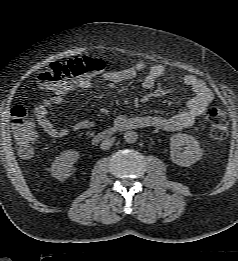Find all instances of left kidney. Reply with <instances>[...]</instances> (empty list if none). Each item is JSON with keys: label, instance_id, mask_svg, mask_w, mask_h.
<instances>
[{"label": "left kidney", "instance_id": "obj_1", "mask_svg": "<svg viewBox=\"0 0 238 261\" xmlns=\"http://www.w3.org/2000/svg\"><path fill=\"white\" fill-rule=\"evenodd\" d=\"M171 160L181 167H189L203 156L199 142L192 136L177 133L170 137Z\"/></svg>", "mask_w": 238, "mask_h": 261}]
</instances>
